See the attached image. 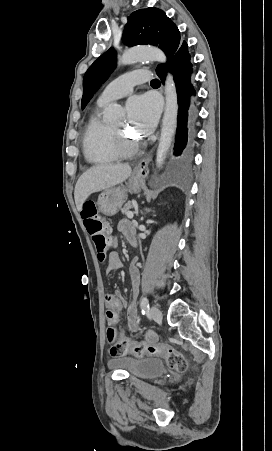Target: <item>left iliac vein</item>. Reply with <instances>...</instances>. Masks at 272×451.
<instances>
[{"instance_id": "4c4485c4", "label": "left iliac vein", "mask_w": 272, "mask_h": 451, "mask_svg": "<svg viewBox=\"0 0 272 451\" xmlns=\"http://www.w3.org/2000/svg\"><path fill=\"white\" fill-rule=\"evenodd\" d=\"M150 316H151L152 319H154L156 321H161L162 320V312L155 306H153L151 308Z\"/></svg>"}]
</instances>
